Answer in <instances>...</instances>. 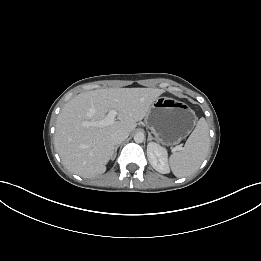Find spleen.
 I'll use <instances>...</instances> for the list:
<instances>
[{
  "label": "spleen",
  "instance_id": "spleen-1",
  "mask_svg": "<svg viewBox=\"0 0 261 261\" xmlns=\"http://www.w3.org/2000/svg\"><path fill=\"white\" fill-rule=\"evenodd\" d=\"M210 148L208 124L204 118H200L185 146L180 152L170 156L169 164L176 177H186L195 173Z\"/></svg>",
  "mask_w": 261,
  "mask_h": 261
}]
</instances>
